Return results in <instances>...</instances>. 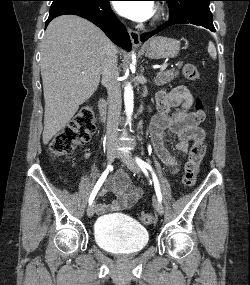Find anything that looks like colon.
I'll use <instances>...</instances> for the list:
<instances>
[{
	"mask_svg": "<svg viewBox=\"0 0 250 285\" xmlns=\"http://www.w3.org/2000/svg\"><path fill=\"white\" fill-rule=\"evenodd\" d=\"M184 77L191 82L200 79V72L193 64H186L183 68ZM196 111H202L200 101L196 103ZM95 131L94 113L90 106L82 107L73 119L60 130L49 144V153L54 158L70 154L77 146L87 142ZM206 153L204 141H195L189 151L185 164L183 184L192 187L199 172V166ZM142 223L150 225L154 222L151 213H142L139 216Z\"/></svg>",
	"mask_w": 250,
	"mask_h": 285,
	"instance_id": "colon-1",
	"label": "colon"
}]
</instances>
